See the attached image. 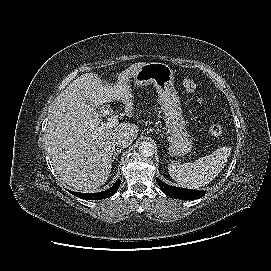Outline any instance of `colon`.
Listing matches in <instances>:
<instances>
[{"label": "colon", "instance_id": "5ec220e1", "mask_svg": "<svg viewBox=\"0 0 271 271\" xmlns=\"http://www.w3.org/2000/svg\"><path fill=\"white\" fill-rule=\"evenodd\" d=\"M182 85L189 93H194L197 89L196 83L189 78L184 79ZM209 133L215 137L220 136L223 133V126L220 123H213L209 128Z\"/></svg>", "mask_w": 271, "mask_h": 271}]
</instances>
